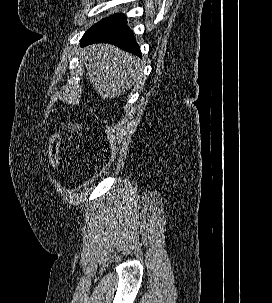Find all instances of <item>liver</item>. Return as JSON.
Returning <instances> with one entry per match:
<instances>
[{"label": "liver", "mask_w": 272, "mask_h": 303, "mask_svg": "<svg viewBox=\"0 0 272 303\" xmlns=\"http://www.w3.org/2000/svg\"><path fill=\"white\" fill-rule=\"evenodd\" d=\"M82 56L86 76L103 100L121 96L141 80L138 58L113 45H90L83 49ZM67 128L78 131L82 125L68 123Z\"/></svg>", "instance_id": "1"}]
</instances>
